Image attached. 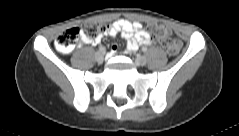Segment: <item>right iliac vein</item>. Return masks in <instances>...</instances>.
Listing matches in <instances>:
<instances>
[{
    "label": "right iliac vein",
    "instance_id": "1",
    "mask_svg": "<svg viewBox=\"0 0 239 136\" xmlns=\"http://www.w3.org/2000/svg\"><path fill=\"white\" fill-rule=\"evenodd\" d=\"M96 61L101 64L104 61V52L98 51L95 55Z\"/></svg>",
    "mask_w": 239,
    "mask_h": 136
}]
</instances>
